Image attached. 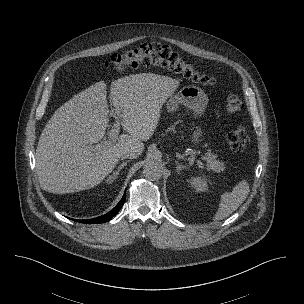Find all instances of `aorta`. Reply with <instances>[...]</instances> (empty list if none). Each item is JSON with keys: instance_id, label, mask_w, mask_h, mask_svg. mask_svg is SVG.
Returning <instances> with one entry per match:
<instances>
[{"instance_id": "aorta-1", "label": "aorta", "mask_w": 304, "mask_h": 304, "mask_svg": "<svg viewBox=\"0 0 304 304\" xmlns=\"http://www.w3.org/2000/svg\"><path fill=\"white\" fill-rule=\"evenodd\" d=\"M143 174L148 180H158L162 177L163 166L159 161L149 160L143 167Z\"/></svg>"}]
</instances>
